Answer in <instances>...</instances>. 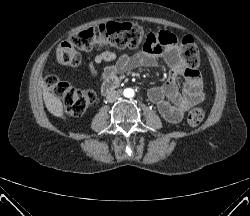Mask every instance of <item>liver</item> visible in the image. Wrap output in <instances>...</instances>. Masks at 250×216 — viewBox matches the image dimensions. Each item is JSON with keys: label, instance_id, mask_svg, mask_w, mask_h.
<instances>
[{"label": "liver", "instance_id": "liver-1", "mask_svg": "<svg viewBox=\"0 0 250 216\" xmlns=\"http://www.w3.org/2000/svg\"><path fill=\"white\" fill-rule=\"evenodd\" d=\"M41 86L43 89V99L48 111L56 117H63V104L59 97L50 93V89L44 80L41 81Z\"/></svg>", "mask_w": 250, "mask_h": 216}]
</instances>
